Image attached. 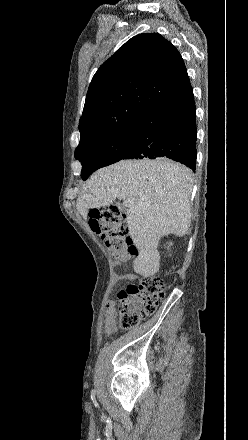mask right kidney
I'll return each mask as SVG.
<instances>
[{"mask_svg":"<svg viewBox=\"0 0 248 440\" xmlns=\"http://www.w3.org/2000/svg\"><path fill=\"white\" fill-rule=\"evenodd\" d=\"M172 245V243H169V246H171ZM169 246H168V249H169Z\"/></svg>","mask_w":248,"mask_h":440,"instance_id":"obj_1","label":"right kidney"}]
</instances>
